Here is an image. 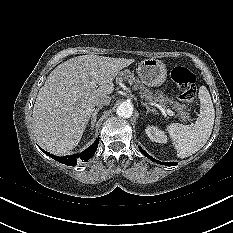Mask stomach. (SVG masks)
<instances>
[{"instance_id":"0dacf381","label":"stomach","mask_w":233,"mask_h":233,"mask_svg":"<svg viewBox=\"0 0 233 233\" xmlns=\"http://www.w3.org/2000/svg\"><path fill=\"white\" fill-rule=\"evenodd\" d=\"M137 73L142 83L150 87L161 86L167 77L165 64L155 58H149L141 61Z\"/></svg>"}]
</instances>
